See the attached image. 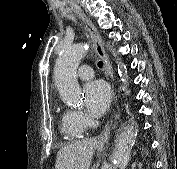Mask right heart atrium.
<instances>
[{
  "label": "right heart atrium",
  "mask_w": 177,
  "mask_h": 169,
  "mask_svg": "<svg viewBox=\"0 0 177 169\" xmlns=\"http://www.w3.org/2000/svg\"><path fill=\"white\" fill-rule=\"evenodd\" d=\"M71 118L75 126L88 127L91 125V119L80 110H71Z\"/></svg>",
  "instance_id": "right-heart-atrium-1"
}]
</instances>
